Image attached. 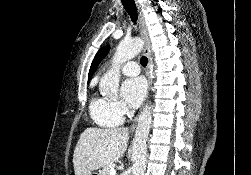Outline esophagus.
Returning a JSON list of instances; mask_svg holds the SVG:
<instances>
[{
  "label": "esophagus",
  "instance_id": "esophagus-1",
  "mask_svg": "<svg viewBox=\"0 0 251 175\" xmlns=\"http://www.w3.org/2000/svg\"><path fill=\"white\" fill-rule=\"evenodd\" d=\"M140 33H141V37L144 42L143 54L146 55V57H148V59H149V63H148L147 69H146L147 85H148V89H149L150 88V71H151V51H150V41H149V37H148V32L145 27L144 18L142 16V14H140ZM137 121H138V116L135 117V119H134L133 125L131 127L132 130L135 129Z\"/></svg>",
  "mask_w": 251,
  "mask_h": 175
}]
</instances>
